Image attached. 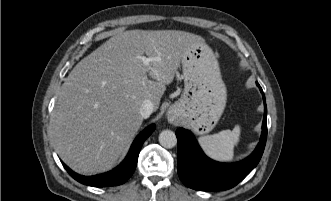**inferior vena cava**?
I'll use <instances>...</instances> for the list:
<instances>
[{
  "label": "inferior vena cava",
  "instance_id": "obj_1",
  "mask_svg": "<svg viewBox=\"0 0 331 201\" xmlns=\"http://www.w3.org/2000/svg\"><path fill=\"white\" fill-rule=\"evenodd\" d=\"M153 110H154L153 103L150 100H144L140 108V114L143 118L146 119L151 115Z\"/></svg>",
  "mask_w": 331,
  "mask_h": 201
}]
</instances>
